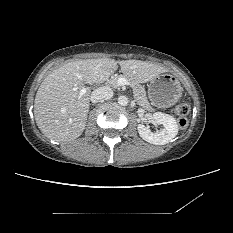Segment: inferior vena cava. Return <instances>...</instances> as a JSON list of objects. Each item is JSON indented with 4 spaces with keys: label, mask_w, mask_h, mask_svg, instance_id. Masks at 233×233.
<instances>
[{
    "label": "inferior vena cava",
    "mask_w": 233,
    "mask_h": 233,
    "mask_svg": "<svg viewBox=\"0 0 233 233\" xmlns=\"http://www.w3.org/2000/svg\"><path fill=\"white\" fill-rule=\"evenodd\" d=\"M113 96V91L111 88L107 86L99 87L95 89L90 97L92 103H97L100 100H108L111 99Z\"/></svg>",
    "instance_id": "inferior-vena-cava-1"
}]
</instances>
